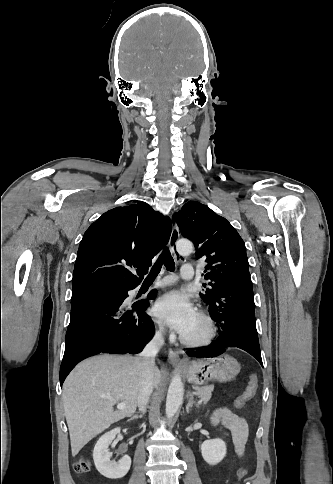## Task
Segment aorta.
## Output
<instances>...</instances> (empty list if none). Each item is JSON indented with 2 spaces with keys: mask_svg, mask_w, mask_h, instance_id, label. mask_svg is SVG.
Segmentation results:
<instances>
[{
  "mask_svg": "<svg viewBox=\"0 0 333 484\" xmlns=\"http://www.w3.org/2000/svg\"><path fill=\"white\" fill-rule=\"evenodd\" d=\"M192 244L187 240H180L176 249L181 254H189L192 251ZM183 383L179 375H175L170 383L166 399V416L171 418L179 409L183 400Z\"/></svg>",
  "mask_w": 333,
  "mask_h": 484,
  "instance_id": "762f6f07",
  "label": "aorta"
}]
</instances>
